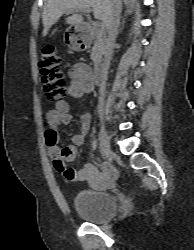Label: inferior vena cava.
<instances>
[{
	"label": "inferior vena cava",
	"mask_w": 194,
	"mask_h": 250,
	"mask_svg": "<svg viewBox=\"0 0 194 250\" xmlns=\"http://www.w3.org/2000/svg\"><path fill=\"white\" fill-rule=\"evenodd\" d=\"M116 4L113 8L109 24L107 26L108 36L105 42V52H104V60L101 69V77H100V85H99V104H98V112L101 119H103L104 115V103H105V91H106V80L108 69L110 66L111 57L113 54L114 43L118 34L119 27V15L121 12V2L116 0Z\"/></svg>",
	"instance_id": "1"
}]
</instances>
